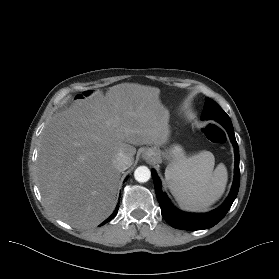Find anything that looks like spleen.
<instances>
[{
  "mask_svg": "<svg viewBox=\"0 0 279 279\" xmlns=\"http://www.w3.org/2000/svg\"><path fill=\"white\" fill-rule=\"evenodd\" d=\"M214 155L201 151L172 162L165 171L171 194L186 210L205 211L223 195L228 174L223 163L215 169Z\"/></svg>",
  "mask_w": 279,
  "mask_h": 279,
  "instance_id": "3e777b00",
  "label": "spleen"
}]
</instances>
